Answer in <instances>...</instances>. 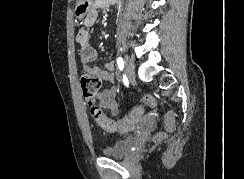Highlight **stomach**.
I'll list each match as a JSON object with an SVG mask.
<instances>
[{"label":"stomach","mask_w":244,"mask_h":179,"mask_svg":"<svg viewBox=\"0 0 244 179\" xmlns=\"http://www.w3.org/2000/svg\"><path fill=\"white\" fill-rule=\"evenodd\" d=\"M92 0H78V4L76 6V12L75 16L76 18H79V20H82L84 16H86L90 6H91Z\"/></svg>","instance_id":"0dacf381"}]
</instances>
